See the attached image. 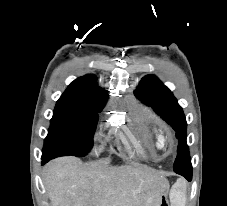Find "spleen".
<instances>
[{
    "mask_svg": "<svg viewBox=\"0 0 227 206\" xmlns=\"http://www.w3.org/2000/svg\"><path fill=\"white\" fill-rule=\"evenodd\" d=\"M170 198L174 206H185L186 203V197L184 192L179 186H175L171 193Z\"/></svg>",
    "mask_w": 227,
    "mask_h": 206,
    "instance_id": "3e777b00",
    "label": "spleen"
}]
</instances>
